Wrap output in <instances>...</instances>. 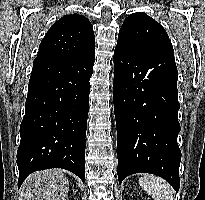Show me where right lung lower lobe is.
Instances as JSON below:
<instances>
[{
  "instance_id": "right-lung-lower-lobe-1",
  "label": "right lung lower lobe",
  "mask_w": 205,
  "mask_h": 200,
  "mask_svg": "<svg viewBox=\"0 0 205 200\" xmlns=\"http://www.w3.org/2000/svg\"><path fill=\"white\" fill-rule=\"evenodd\" d=\"M95 50L73 59L36 58L17 152L18 187L32 172L63 168L85 180L86 129Z\"/></svg>"
}]
</instances>
